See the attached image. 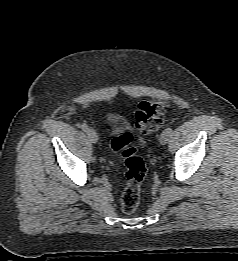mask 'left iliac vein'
Listing matches in <instances>:
<instances>
[{"label":"left iliac vein","instance_id":"4c4485c4","mask_svg":"<svg viewBox=\"0 0 238 261\" xmlns=\"http://www.w3.org/2000/svg\"><path fill=\"white\" fill-rule=\"evenodd\" d=\"M169 137H170V133L167 130H164L161 135H160V143L162 145L167 144V142L169 141Z\"/></svg>","mask_w":238,"mask_h":261}]
</instances>
